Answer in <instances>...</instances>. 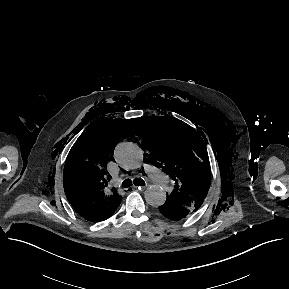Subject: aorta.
Instances as JSON below:
<instances>
[{"instance_id": "obj_1", "label": "aorta", "mask_w": 289, "mask_h": 289, "mask_svg": "<svg viewBox=\"0 0 289 289\" xmlns=\"http://www.w3.org/2000/svg\"><path fill=\"white\" fill-rule=\"evenodd\" d=\"M114 156L117 163L128 170L139 169L144 160L142 150L132 142L118 144ZM144 194L147 204L153 207L163 205L167 198L165 190L159 185H150Z\"/></svg>"}]
</instances>
